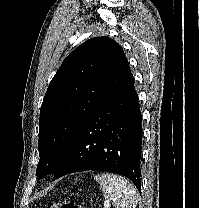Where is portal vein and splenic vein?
<instances>
[{"mask_svg":"<svg viewBox=\"0 0 199 208\" xmlns=\"http://www.w3.org/2000/svg\"><path fill=\"white\" fill-rule=\"evenodd\" d=\"M103 207L104 208H109L110 207V204L108 201H105L104 204H103Z\"/></svg>","mask_w":199,"mask_h":208,"instance_id":"obj_1","label":"portal vein and splenic vein"}]
</instances>
